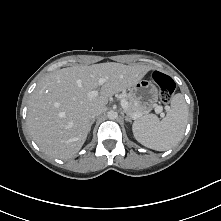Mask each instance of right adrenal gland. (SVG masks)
<instances>
[{"label": "right adrenal gland", "mask_w": 221, "mask_h": 221, "mask_svg": "<svg viewBox=\"0 0 221 221\" xmlns=\"http://www.w3.org/2000/svg\"><path fill=\"white\" fill-rule=\"evenodd\" d=\"M95 120H96L95 118H93V119L91 120L89 131L91 130V126L94 124Z\"/></svg>", "instance_id": "right-adrenal-gland-1"}]
</instances>
